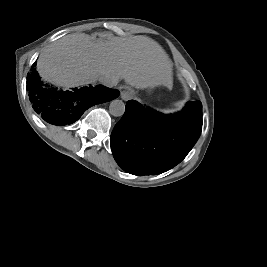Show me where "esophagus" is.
Returning <instances> with one entry per match:
<instances>
[{
  "label": "esophagus",
  "mask_w": 267,
  "mask_h": 267,
  "mask_svg": "<svg viewBox=\"0 0 267 267\" xmlns=\"http://www.w3.org/2000/svg\"><path fill=\"white\" fill-rule=\"evenodd\" d=\"M133 97V92L130 90H123L121 92V98L125 101L131 99Z\"/></svg>",
  "instance_id": "obj_1"
}]
</instances>
